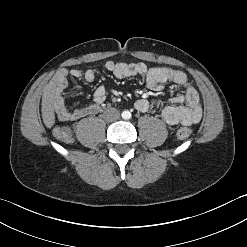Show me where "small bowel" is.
Masks as SVG:
<instances>
[{
    "label": "small bowel",
    "instance_id": "obj_1",
    "mask_svg": "<svg viewBox=\"0 0 247 247\" xmlns=\"http://www.w3.org/2000/svg\"><path fill=\"white\" fill-rule=\"evenodd\" d=\"M104 70L118 79L141 77L146 86L155 91L163 89L167 83L181 86L184 91L173 97L167 105H161L157 100L141 98L135 102V108L139 112L146 113L154 108L169 125H194L202 116V107L198 92L188 82L184 72L171 67H148L144 63H116L108 61L104 64ZM95 69L82 70L79 68L60 70L52 83V103L60 121H75L86 116L98 113L100 106L106 99V89L99 86L93 95V101L86 106L71 110L65 103L64 93L68 86V77L78 81L92 82L96 77Z\"/></svg>",
    "mask_w": 247,
    "mask_h": 247
}]
</instances>
